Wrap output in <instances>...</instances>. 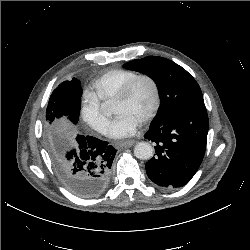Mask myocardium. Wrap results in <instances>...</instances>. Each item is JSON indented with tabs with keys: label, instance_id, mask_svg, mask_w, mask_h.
<instances>
[{
	"label": "myocardium",
	"instance_id": "myocardium-1",
	"mask_svg": "<svg viewBox=\"0 0 250 250\" xmlns=\"http://www.w3.org/2000/svg\"><path fill=\"white\" fill-rule=\"evenodd\" d=\"M141 81H147L151 85L153 89V93H154V106L151 112L141 121V123H148L157 116L161 107V102H162L161 91H160L159 85L152 76L147 75V74L137 75L135 78H133L132 80H130L127 84L123 86V88L119 91V93L115 97L114 102L116 103V102L126 101L132 94L136 85Z\"/></svg>",
	"mask_w": 250,
	"mask_h": 250
}]
</instances>
